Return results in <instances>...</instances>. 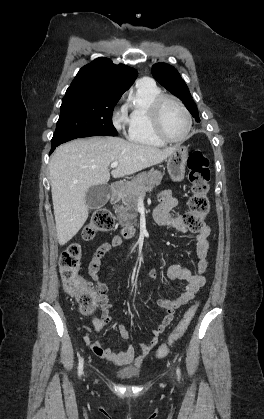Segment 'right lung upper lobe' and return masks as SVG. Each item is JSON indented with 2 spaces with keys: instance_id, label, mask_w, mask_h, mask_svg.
Here are the masks:
<instances>
[{
  "instance_id": "obj_1",
  "label": "right lung upper lobe",
  "mask_w": 264,
  "mask_h": 419,
  "mask_svg": "<svg viewBox=\"0 0 264 419\" xmlns=\"http://www.w3.org/2000/svg\"><path fill=\"white\" fill-rule=\"evenodd\" d=\"M138 72L127 65H115L108 58H97L82 67L69 88L122 95L135 81Z\"/></svg>"
}]
</instances>
